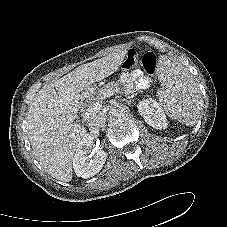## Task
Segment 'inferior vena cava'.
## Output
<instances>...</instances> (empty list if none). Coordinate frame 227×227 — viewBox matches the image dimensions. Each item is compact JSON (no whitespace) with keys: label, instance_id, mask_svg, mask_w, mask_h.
<instances>
[{"label":"inferior vena cava","instance_id":"obj_1","mask_svg":"<svg viewBox=\"0 0 227 227\" xmlns=\"http://www.w3.org/2000/svg\"><path fill=\"white\" fill-rule=\"evenodd\" d=\"M107 119V115L105 112L101 111L98 112L97 114H94L89 121V127L91 129H99L101 127H104L105 122Z\"/></svg>","mask_w":227,"mask_h":227}]
</instances>
